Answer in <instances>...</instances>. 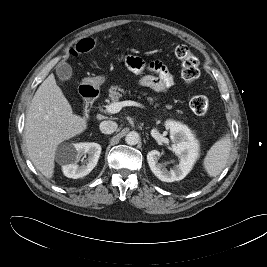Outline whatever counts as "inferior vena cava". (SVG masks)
<instances>
[{"label": "inferior vena cava", "instance_id": "602c4592", "mask_svg": "<svg viewBox=\"0 0 267 267\" xmlns=\"http://www.w3.org/2000/svg\"><path fill=\"white\" fill-rule=\"evenodd\" d=\"M100 131L104 134H111L116 131L118 125L114 121H103L100 123Z\"/></svg>", "mask_w": 267, "mask_h": 267}]
</instances>
